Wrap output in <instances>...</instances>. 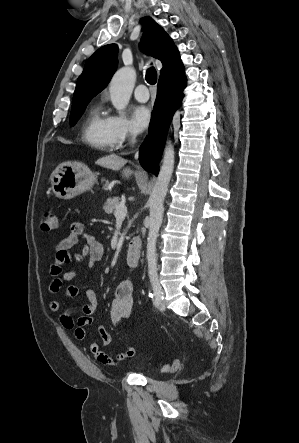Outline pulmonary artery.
Instances as JSON below:
<instances>
[{"mask_svg": "<svg viewBox=\"0 0 299 443\" xmlns=\"http://www.w3.org/2000/svg\"><path fill=\"white\" fill-rule=\"evenodd\" d=\"M134 96L139 102H146L149 99V92L144 84H139L134 91Z\"/></svg>", "mask_w": 299, "mask_h": 443, "instance_id": "e3ab8cb5", "label": "pulmonary artery"}]
</instances>
